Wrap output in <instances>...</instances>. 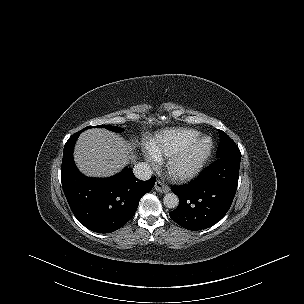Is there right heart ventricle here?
<instances>
[{"instance_id": "obj_1", "label": "right heart ventricle", "mask_w": 304, "mask_h": 304, "mask_svg": "<svg viewBox=\"0 0 304 304\" xmlns=\"http://www.w3.org/2000/svg\"><path fill=\"white\" fill-rule=\"evenodd\" d=\"M201 133L194 129L172 128L158 132L151 140V152L158 157L170 158L194 140Z\"/></svg>"}]
</instances>
